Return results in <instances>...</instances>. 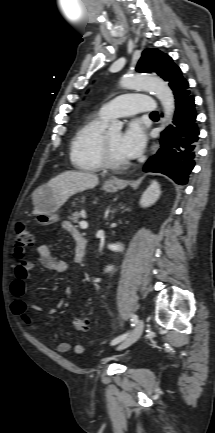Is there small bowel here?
Here are the masks:
<instances>
[{
  "instance_id": "obj_1",
  "label": "small bowel",
  "mask_w": 215,
  "mask_h": 433,
  "mask_svg": "<svg viewBox=\"0 0 215 433\" xmlns=\"http://www.w3.org/2000/svg\"><path fill=\"white\" fill-rule=\"evenodd\" d=\"M64 230L68 231L75 241V254L74 262L80 263L81 257L80 247L85 240L80 231L70 222L63 223ZM37 256L41 264L47 268L54 270L59 274H64L69 270V263L55 258L52 249L48 245H39L36 248ZM34 267L32 261L20 260L14 268V278L10 283V293L14 298L12 305L13 313L18 316L26 325L33 327L32 318L29 315V310H37L38 307L25 300L26 284L29 279L30 273ZM51 340L56 342L57 335L51 336ZM71 349V344L67 341L58 342L56 350L60 353H66ZM75 352L81 353L84 350V346L76 344L74 347Z\"/></svg>"
}]
</instances>
